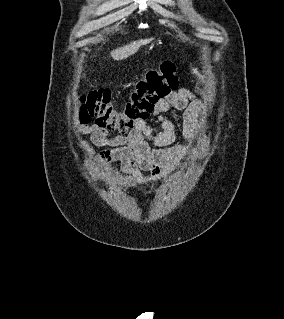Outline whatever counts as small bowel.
Listing matches in <instances>:
<instances>
[{
    "label": "small bowel",
    "instance_id": "small-bowel-1",
    "mask_svg": "<svg viewBox=\"0 0 284 319\" xmlns=\"http://www.w3.org/2000/svg\"><path fill=\"white\" fill-rule=\"evenodd\" d=\"M171 108L183 112L182 137L190 142L196 141L205 104L187 89L173 91L155 105L152 117L160 123L158 132L147 121L138 122L125 136H114L97 124L83 125L79 132L90 135L92 144L113 147L100 155L99 165L117 161L125 175L141 186L150 187L151 182L144 175L145 172L154 181L160 182L166 175L175 172L180 162V148L172 146L178 132L165 116ZM91 143L82 140L79 146L83 152L92 155L94 150Z\"/></svg>",
    "mask_w": 284,
    "mask_h": 319
}]
</instances>
